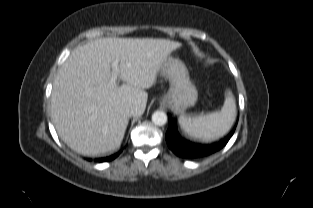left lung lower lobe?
Returning a JSON list of instances; mask_svg holds the SVG:
<instances>
[{
  "label": "left lung lower lobe",
  "instance_id": "0a47b994",
  "mask_svg": "<svg viewBox=\"0 0 313 208\" xmlns=\"http://www.w3.org/2000/svg\"><path fill=\"white\" fill-rule=\"evenodd\" d=\"M235 128L220 142L211 145H200L192 143L183 138L177 131L175 122L169 116V127L166 133V142L168 147L179 157L182 158H200L223 148L234 133Z\"/></svg>",
  "mask_w": 313,
  "mask_h": 208
}]
</instances>
